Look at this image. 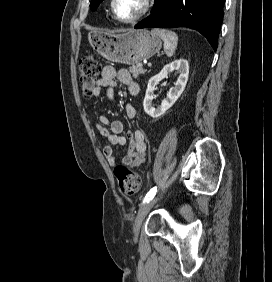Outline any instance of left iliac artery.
<instances>
[{"label":"left iliac artery","mask_w":272,"mask_h":282,"mask_svg":"<svg viewBox=\"0 0 272 282\" xmlns=\"http://www.w3.org/2000/svg\"><path fill=\"white\" fill-rule=\"evenodd\" d=\"M157 191V187L152 188L147 195L145 196L144 200H143V204L149 202L150 200H152L156 194Z\"/></svg>","instance_id":"1"}]
</instances>
